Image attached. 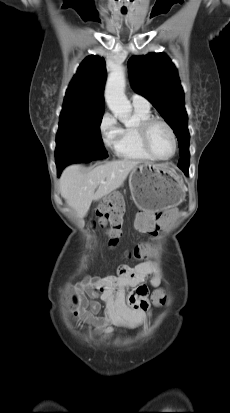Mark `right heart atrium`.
Returning a JSON list of instances; mask_svg holds the SVG:
<instances>
[{
  "label": "right heart atrium",
  "mask_w": 230,
  "mask_h": 413,
  "mask_svg": "<svg viewBox=\"0 0 230 413\" xmlns=\"http://www.w3.org/2000/svg\"><path fill=\"white\" fill-rule=\"evenodd\" d=\"M120 127L111 113H105L99 123V132L103 144L108 148H115L120 135Z\"/></svg>",
  "instance_id": "d8ad5b80"
}]
</instances>
